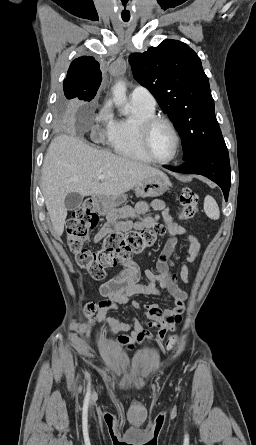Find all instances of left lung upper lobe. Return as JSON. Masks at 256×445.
<instances>
[{
  "label": "left lung upper lobe",
  "instance_id": "obj_1",
  "mask_svg": "<svg viewBox=\"0 0 256 445\" xmlns=\"http://www.w3.org/2000/svg\"><path fill=\"white\" fill-rule=\"evenodd\" d=\"M134 78L156 98L174 122L187 160L201 152L226 148L215 117L209 81L198 55L185 43L164 40L129 56Z\"/></svg>",
  "mask_w": 256,
  "mask_h": 445
}]
</instances>
